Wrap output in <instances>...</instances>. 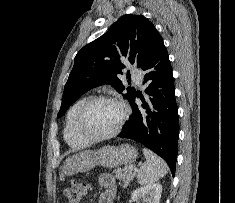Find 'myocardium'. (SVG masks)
I'll return each mask as SVG.
<instances>
[{
  "mask_svg": "<svg viewBox=\"0 0 235 203\" xmlns=\"http://www.w3.org/2000/svg\"><path fill=\"white\" fill-rule=\"evenodd\" d=\"M101 101H110V102H114L116 104H118L121 109H122V115L121 118L117 124V126L110 131L109 133L103 134V135H91L86 133L83 129H82V122L83 119L87 113V111L97 102H101ZM129 114H130V110L128 105L122 100L119 99L115 96H111V95H97V96H93L90 97L79 109L77 115H76V119H75V131L76 133L84 140H86L87 142H100V141H104L107 139H110L114 136H116L124 127L126 121L129 118Z\"/></svg>",
  "mask_w": 235,
  "mask_h": 203,
  "instance_id": "f54148a6",
  "label": "myocardium"
}]
</instances>
